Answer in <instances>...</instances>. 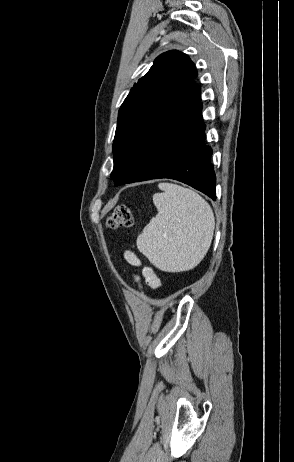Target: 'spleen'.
Instances as JSON below:
<instances>
[{"instance_id":"1","label":"spleen","mask_w":294,"mask_h":462,"mask_svg":"<svg viewBox=\"0 0 294 462\" xmlns=\"http://www.w3.org/2000/svg\"><path fill=\"white\" fill-rule=\"evenodd\" d=\"M153 195L158 214L137 237V247L157 268L187 271L198 265L210 248L215 219L210 205L195 191L160 183Z\"/></svg>"}]
</instances>
